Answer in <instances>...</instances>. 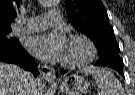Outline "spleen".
Instances as JSON below:
<instances>
[{"label": "spleen", "instance_id": "spleen-1", "mask_svg": "<svg viewBox=\"0 0 135 95\" xmlns=\"http://www.w3.org/2000/svg\"><path fill=\"white\" fill-rule=\"evenodd\" d=\"M80 72L90 74L95 79L98 95H125L124 88L111 71L88 66L82 68Z\"/></svg>", "mask_w": 135, "mask_h": 95}]
</instances>
